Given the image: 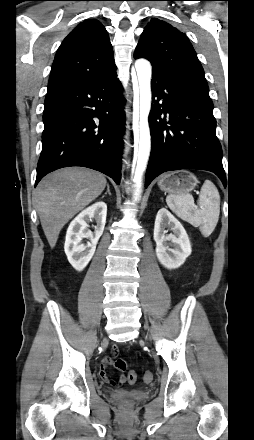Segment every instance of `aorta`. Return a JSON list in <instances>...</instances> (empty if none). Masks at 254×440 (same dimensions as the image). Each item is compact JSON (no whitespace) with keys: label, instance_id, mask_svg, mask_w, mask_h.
Returning <instances> with one entry per match:
<instances>
[{"label":"aorta","instance_id":"1","mask_svg":"<svg viewBox=\"0 0 254 440\" xmlns=\"http://www.w3.org/2000/svg\"><path fill=\"white\" fill-rule=\"evenodd\" d=\"M139 83V97L134 100L133 130H134V201H139L142 193V178L147 167L151 150V136L148 125V115L151 109V65L146 59L135 62Z\"/></svg>","mask_w":254,"mask_h":440}]
</instances>
